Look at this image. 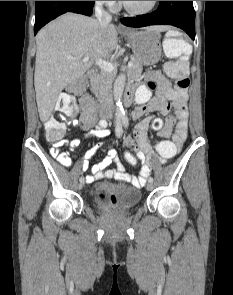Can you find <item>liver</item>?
<instances>
[{
  "label": "liver",
  "instance_id": "6515ba94",
  "mask_svg": "<svg viewBox=\"0 0 233 295\" xmlns=\"http://www.w3.org/2000/svg\"><path fill=\"white\" fill-rule=\"evenodd\" d=\"M155 29L165 31L168 27L156 26ZM117 44L113 24L104 28L94 18L71 12L38 32L34 86L42 122L49 119L62 90L81 78L96 58L112 56ZM67 55L77 59H68ZM85 56L90 60H81Z\"/></svg>",
  "mask_w": 233,
  "mask_h": 295
}]
</instances>
